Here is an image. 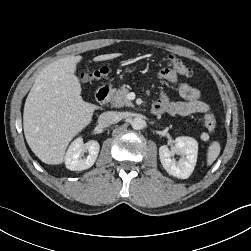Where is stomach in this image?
Listing matches in <instances>:
<instances>
[{
  "label": "stomach",
  "mask_w": 251,
  "mask_h": 251,
  "mask_svg": "<svg viewBox=\"0 0 251 251\" xmlns=\"http://www.w3.org/2000/svg\"><path fill=\"white\" fill-rule=\"evenodd\" d=\"M128 72H131V69H127Z\"/></svg>",
  "instance_id": "obj_1"
}]
</instances>
